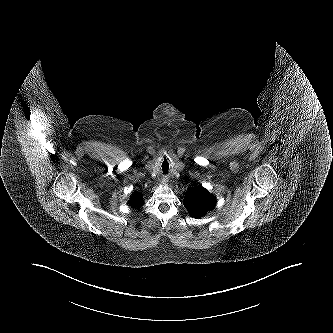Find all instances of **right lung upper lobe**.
<instances>
[{
	"label": "right lung upper lobe",
	"mask_w": 333,
	"mask_h": 333,
	"mask_svg": "<svg viewBox=\"0 0 333 333\" xmlns=\"http://www.w3.org/2000/svg\"><path fill=\"white\" fill-rule=\"evenodd\" d=\"M131 207H140L143 205V198L142 195L135 193L132 195L131 199L128 203Z\"/></svg>",
	"instance_id": "cb5924a9"
}]
</instances>
